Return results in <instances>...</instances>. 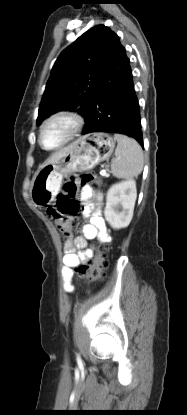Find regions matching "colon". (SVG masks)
I'll return each mask as SVG.
<instances>
[{"instance_id":"colon-1","label":"colon","mask_w":187,"mask_h":415,"mask_svg":"<svg viewBox=\"0 0 187 415\" xmlns=\"http://www.w3.org/2000/svg\"><path fill=\"white\" fill-rule=\"evenodd\" d=\"M100 178L93 173H83L67 182L62 186L57 195L55 207L47 209V214L52 218L56 227L64 239H69L72 235V219L79 211V201L77 199L79 186L98 185ZM108 267L107 255L104 251H99L85 266L78 268L81 277L97 281L101 279Z\"/></svg>"}]
</instances>
